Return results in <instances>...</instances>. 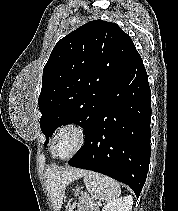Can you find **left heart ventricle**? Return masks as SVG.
Returning a JSON list of instances; mask_svg holds the SVG:
<instances>
[{"instance_id":"b2bd125f","label":"left heart ventricle","mask_w":178,"mask_h":211,"mask_svg":"<svg viewBox=\"0 0 178 211\" xmlns=\"http://www.w3.org/2000/svg\"><path fill=\"white\" fill-rule=\"evenodd\" d=\"M77 145V135L71 131L66 130L59 134L55 142V151L59 156H65L73 151Z\"/></svg>"}]
</instances>
